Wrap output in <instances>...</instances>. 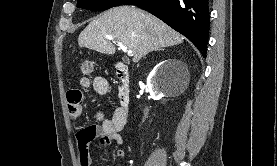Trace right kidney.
<instances>
[{"mask_svg": "<svg viewBox=\"0 0 277 166\" xmlns=\"http://www.w3.org/2000/svg\"><path fill=\"white\" fill-rule=\"evenodd\" d=\"M170 62L182 65L180 62L174 61V60L163 61L153 69V71L150 73V75L147 78V85L150 92V96L154 100H159L164 96L163 89H162L164 86L163 85L164 77L162 76L161 72H162L163 66Z\"/></svg>", "mask_w": 277, "mask_h": 166, "instance_id": "1", "label": "right kidney"}]
</instances>
